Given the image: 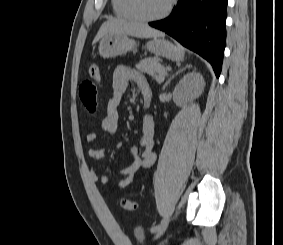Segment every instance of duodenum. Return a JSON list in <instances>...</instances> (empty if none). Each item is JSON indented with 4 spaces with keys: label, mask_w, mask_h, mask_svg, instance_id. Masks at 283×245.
Listing matches in <instances>:
<instances>
[{
    "label": "duodenum",
    "mask_w": 283,
    "mask_h": 245,
    "mask_svg": "<svg viewBox=\"0 0 283 245\" xmlns=\"http://www.w3.org/2000/svg\"><path fill=\"white\" fill-rule=\"evenodd\" d=\"M151 99L149 97L144 98L145 106H149Z\"/></svg>",
    "instance_id": "410a0bca"
}]
</instances>
